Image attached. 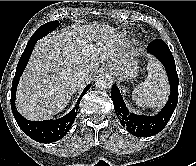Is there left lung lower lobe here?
<instances>
[{"label":"left lung lower lobe","mask_w":196,"mask_h":166,"mask_svg":"<svg viewBox=\"0 0 196 166\" xmlns=\"http://www.w3.org/2000/svg\"><path fill=\"white\" fill-rule=\"evenodd\" d=\"M148 52L164 65L171 87L170 97L164 108L155 116H144L129 113L120 91L116 85L112 86L111 97L116 115L123 127L135 136L147 137L159 133L170 120L178 102L179 79L175 61L168 45L161 39L152 41Z\"/></svg>","instance_id":"left-lung-lower-lobe-1"}]
</instances>
